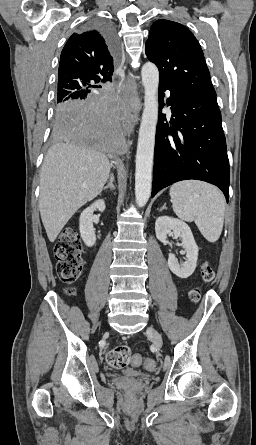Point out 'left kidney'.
I'll use <instances>...</instances> for the list:
<instances>
[{
	"label": "left kidney",
	"instance_id": "left-kidney-1",
	"mask_svg": "<svg viewBox=\"0 0 256 445\" xmlns=\"http://www.w3.org/2000/svg\"><path fill=\"white\" fill-rule=\"evenodd\" d=\"M173 232L175 238L181 239V246L186 252V261L179 263L174 254L168 256V266L170 270L180 278H188L194 272L198 259V246L194 240L188 224L182 220L161 216L155 223V232L158 240L164 241L170 232Z\"/></svg>",
	"mask_w": 256,
	"mask_h": 445
}]
</instances>
